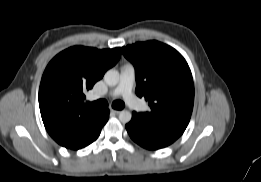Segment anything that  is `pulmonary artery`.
<instances>
[{
    "mask_svg": "<svg viewBox=\"0 0 261 182\" xmlns=\"http://www.w3.org/2000/svg\"><path fill=\"white\" fill-rule=\"evenodd\" d=\"M135 67L128 64L123 67L120 75V80L118 85L109 92V97H122L127 104L140 111H146L148 109L147 105L141 103L133 94V88L135 84ZM99 98L98 95H93L92 99Z\"/></svg>",
    "mask_w": 261,
    "mask_h": 182,
    "instance_id": "pulmonary-artery-1",
    "label": "pulmonary artery"
}]
</instances>
